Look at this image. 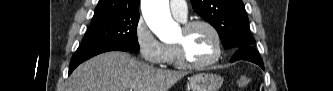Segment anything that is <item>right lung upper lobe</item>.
<instances>
[{"label": "right lung upper lobe", "mask_w": 333, "mask_h": 91, "mask_svg": "<svg viewBox=\"0 0 333 91\" xmlns=\"http://www.w3.org/2000/svg\"><path fill=\"white\" fill-rule=\"evenodd\" d=\"M128 13H139V0H99L93 18Z\"/></svg>", "instance_id": "1"}]
</instances>
